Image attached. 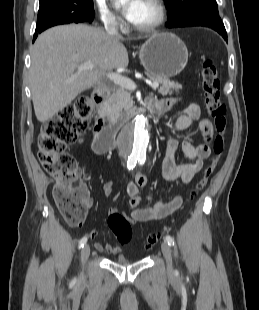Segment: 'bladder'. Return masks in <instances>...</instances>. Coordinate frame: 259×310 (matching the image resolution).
Masks as SVG:
<instances>
[{
	"instance_id": "obj_1",
	"label": "bladder",
	"mask_w": 259,
	"mask_h": 310,
	"mask_svg": "<svg viewBox=\"0 0 259 310\" xmlns=\"http://www.w3.org/2000/svg\"><path fill=\"white\" fill-rule=\"evenodd\" d=\"M115 261L117 262V263H119V264H127L128 263V261L125 259V257H123V256H120V257H117L116 259H115Z\"/></svg>"
}]
</instances>
